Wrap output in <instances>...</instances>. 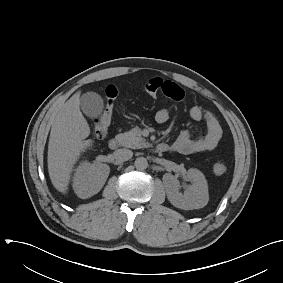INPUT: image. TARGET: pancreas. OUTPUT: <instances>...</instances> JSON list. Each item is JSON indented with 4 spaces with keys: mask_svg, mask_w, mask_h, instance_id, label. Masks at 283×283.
<instances>
[{
    "mask_svg": "<svg viewBox=\"0 0 283 283\" xmlns=\"http://www.w3.org/2000/svg\"><path fill=\"white\" fill-rule=\"evenodd\" d=\"M121 145L128 148L140 149L149 146V143L141 136L139 128H133L132 130L121 133L117 136Z\"/></svg>",
    "mask_w": 283,
    "mask_h": 283,
    "instance_id": "pancreas-1",
    "label": "pancreas"
}]
</instances>
